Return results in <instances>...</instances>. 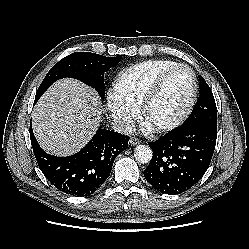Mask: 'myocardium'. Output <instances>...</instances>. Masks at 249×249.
<instances>
[{"label": "myocardium", "mask_w": 249, "mask_h": 249, "mask_svg": "<svg viewBox=\"0 0 249 249\" xmlns=\"http://www.w3.org/2000/svg\"><path fill=\"white\" fill-rule=\"evenodd\" d=\"M179 69H186L190 73V76H191V87H190L188 99L182 111L173 120L165 124L154 127L155 130L158 132H168V131L176 129L177 127H179L185 122V120L189 117V115L191 114L193 110V107L196 101V96H197V89H198L196 74L190 66L186 64H177L173 67L166 69L164 72H162L158 76V78L155 80L151 88L148 90V92L144 96L138 109L140 118L143 121H146L147 112L150 106L152 105V103L155 101V99L159 95L164 83L166 82V80L169 78L171 74H173L175 71Z\"/></svg>", "instance_id": "f54148a6"}]
</instances>
